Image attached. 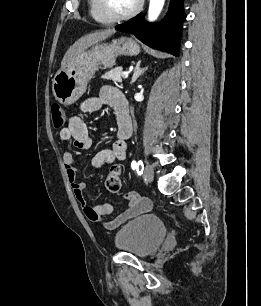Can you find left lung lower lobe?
I'll return each mask as SVG.
<instances>
[{
  "label": "left lung lower lobe",
  "mask_w": 261,
  "mask_h": 306,
  "mask_svg": "<svg viewBox=\"0 0 261 306\" xmlns=\"http://www.w3.org/2000/svg\"><path fill=\"white\" fill-rule=\"evenodd\" d=\"M183 1L170 0L169 10L165 18L157 26L144 22V14H139L115 28L122 32L134 34L139 40L152 48L178 56L181 28L186 18Z\"/></svg>",
  "instance_id": "1"
}]
</instances>
